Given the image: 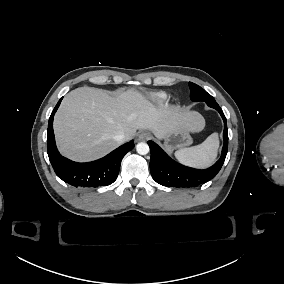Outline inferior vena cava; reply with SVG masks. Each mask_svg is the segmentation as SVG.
I'll use <instances>...</instances> for the list:
<instances>
[{
    "mask_svg": "<svg viewBox=\"0 0 284 284\" xmlns=\"http://www.w3.org/2000/svg\"><path fill=\"white\" fill-rule=\"evenodd\" d=\"M114 140L117 141L118 143H123L124 142V134L122 132L117 133L114 135Z\"/></svg>",
    "mask_w": 284,
    "mask_h": 284,
    "instance_id": "602c4592",
    "label": "inferior vena cava"
}]
</instances>
